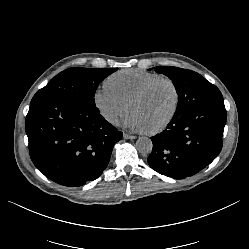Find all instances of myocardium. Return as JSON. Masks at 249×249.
<instances>
[{
	"instance_id": "f54148a6",
	"label": "myocardium",
	"mask_w": 249,
	"mask_h": 249,
	"mask_svg": "<svg viewBox=\"0 0 249 249\" xmlns=\"http://www.w3.org/2000/svg\"><path fill=\"white\" fill-rule=\"evenodd\" d=\"M162 82H166L168 83L174 92V96H175V102H174V107L171 111V113L169 114V116L163 120L157 127L147 130L146 133L148 134H158L162 131H164L175 119L179 107H180V101H181V96H180V91L179 88L176 84V82L167 76H160L157 77L149 82H147L146 84H144L138 91H136L128 100L127 105L128 107L130 106V104L138 99H140L141 97H143L144 95H146L153 87H155L157 84L162 83Z\"/></svg>"
}]
</instances>
